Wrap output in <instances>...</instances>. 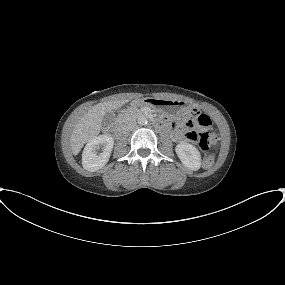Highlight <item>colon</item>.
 <instances>
[{"mask_svg":"<svg viewBox=\"0 0 285 285\" xmlns=\"http://www.w3.org/2000/svg\"><path fill=\"white\" fill-rule=\"evenodd\" d=\"M183 123L189 128L186 137L196 142L200 149L205 152L202 160L204 168H210L214 163V154L207 152L210 146L216 141V134L207 131L211 120L206 114H197L188 110L182 117Z\"/></svg>","mask_w":285,"mask_h":285,"instance_id":"colon-1","label":"colon"}]
</instances>
